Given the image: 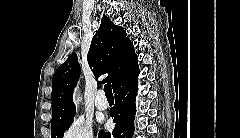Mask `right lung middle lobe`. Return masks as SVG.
Here are the masks:
<instances>
[{
    "mask_svg": "<svg viewBox=\"0 0 240 138\" xmlns=\"http://www.w3.org/2000/svg\"><path fill=\"white\" fill-rule=\"evenodd\" d=\"M73 122V119L64 122V123H60V124H56V125H52L51 126V138H63V134L64 131L67 127H69Z\"/></svg>",
    "mask_w": 240,
    "mask_h": 138,
    "instance_id": "dd1d6c3e",
    "label": "right lung middle lobe"
}]
</instances>
